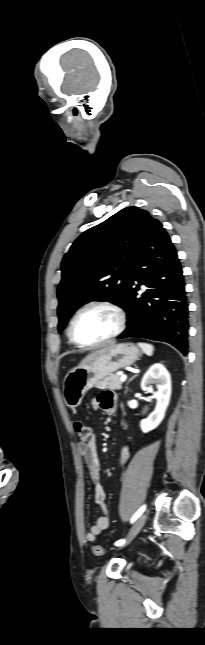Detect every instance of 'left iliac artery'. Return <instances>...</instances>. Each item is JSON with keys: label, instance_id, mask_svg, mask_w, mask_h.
<instances>
[{"label": "left iliac artery", "instance_id": "1", "mask_svg": "<svg viewBox=\"0 0 205 645\" xmlns=\"http://www.w3.org/2000/svg\"><path fill=\"white\" fill-rule=\"evenodd\" d=\"M145 509H146V505L141 506L139 508V510L131 518V523H133L135 520H137V518H139L141 516V514L144 512ZM124 543H125V539H121V540L116 541L115 545L116 546H121Z\"/></svg>", "mask_w": 205, "mask_h": 645}]
</instances>
